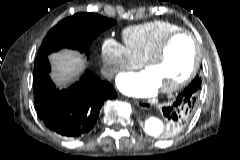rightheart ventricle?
<instances>
[{
    "mask_svg": "<svg viewBox=\"0 0 240 160\" xmlns=\"http://www.w3.org/2000/svg\"><path fill=\"white\" fill-rule=\"evenodd\" d=\"M178 30L181 28L176 24L157 20L124 29L122 39L131 58L141 63L166 35Z\"/></svg>",
    "mask_w": 240,
    "mask_h": 160,
    "instance_id": "1",
    "label": "right heart ventricle"
}]
</instances>
